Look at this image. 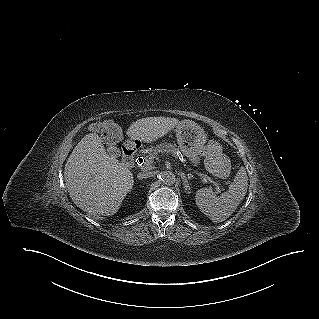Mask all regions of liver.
I'll use <instances>...</instances> for the list:
<instances>
[{
  "instance_id": "obj_1",
  "label": "liver",
  "mask_w": 319,
  "mask_h": 319,
  "mask_svg": "<svg viewBox=\"0 0 319 319\" xmlns=\"http://www.w3.org/2000/svg\"><path fill=\"white\" fill-rule=\"evenodd\" d=\"M182 122L176 118H142L128 128V137L153 142ZM73 202L93 216L114 215L131 191L134 180L128 167L109 155L96 133L84 136L69 156L64 171Z\"/></svg>"
}]
</instances>
